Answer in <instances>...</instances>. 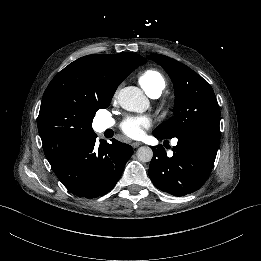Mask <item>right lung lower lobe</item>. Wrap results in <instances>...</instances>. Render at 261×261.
I'll list each match as a JSON object with an SVG mask.
<instances>
[{
    "label": "right lung lower lobe",
    "mask_w": 261,
    "mask_h": 261,
    "mask_svg": "<svg viewBox=\"0 0 261 261\" xmlns=\"http://www.w3.org/2000/svg\"><path fill=\"white\" fill-rule=\"evenodd\" d=\"M112 144L96 136L70 150L51 164V167L72 194L95 198L108 193L120 179L133 149L130 145L112 139Z\"/></svg>",
    "instance_id": "obj_1"
}]
</instances>
